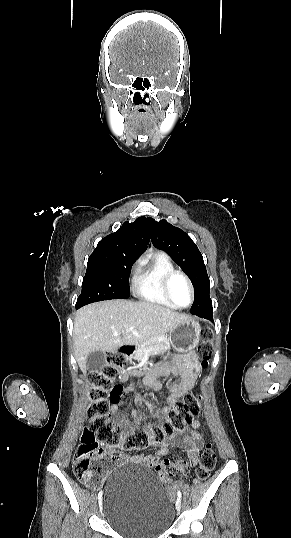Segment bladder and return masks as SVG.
Wrapping results in <instances>:
<instances>
[{
    "label": "bladder",
    "mask_w": 291,
    "mask_h": 538,
    "mask_svg": "<svg viewBox=\"0 0 291 538\" xmlns=\"http://www.w3.org/2000/svg\"><path fill=\"white\" fill-rule=\"evenodd\" d=\"M101 508L107 524L128 538H156L175 518L163 485L152 471L134 463L110 474Z\"/></svg>",
    "instance_id": "31cf9c89"
}]
</instances>
